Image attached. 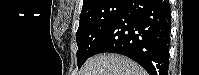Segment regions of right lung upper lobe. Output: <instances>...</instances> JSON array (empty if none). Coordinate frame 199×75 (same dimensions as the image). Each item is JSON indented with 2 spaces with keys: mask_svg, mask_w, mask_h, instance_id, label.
I'll return each mask as SVG.
<instances>
[{
  "mask_svg": "<svg viewBox=\"0 0 199 75\" xmlns=\"http://www.w3.org/2000/svg\"><path fill=\"white\" fill-rule=\"evenodd\" d=\"M105 0H84L82 9L97 5Z\"/></svg>",
  "mask_w": 199,
  "mask_h": 75,
  "instance_id": "1",
  "label": "right lung upper lobe"
}]
</instances>
